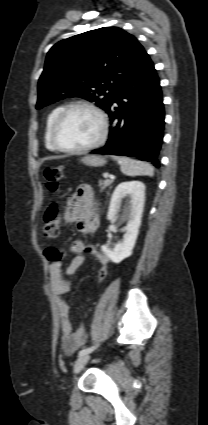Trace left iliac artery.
<instances>
[{
	"instance_id": "obj_1",
	"label": "left iliac artery",
	"mask_w": 208,
	"mask_h": 425,
	"mask_svg": "<svg viewBox=\"0 0 208 425\" xmlns=\"http://www.w3.org/2000/svg\"><path fill=\"white\" fill-rule=\"evenodd\" d=\"M98 346V344H96V345H94V346H91V347H88V348H85V349H82L80 352H79V356H81V355H85V354H88V353H90V352H92L96 347Z\"/></svg>"
}]
</instances>
